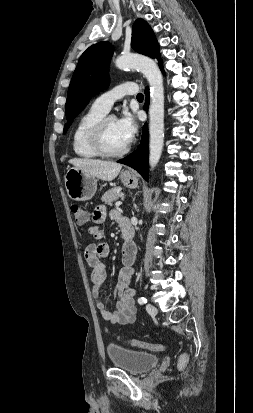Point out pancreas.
Here are the masks:
<instances>
[{
  "mask_svg": "<svg viewBox=\"0 0 253 413\" xmlns=\"http://www.w3.org/2000/svg\"><path fill=\"white\" fill-rule=\"evenodd\" d=\"M124 194L121 193V188L115 187L108 190L101 198V200L108 205H112V203L120 197H123Z\"/></svg>",
  "mask_w": 253,
  "mask_h": 413,
  "instance_id": "1",
  "label": "pancreas"
}]
</instances>
